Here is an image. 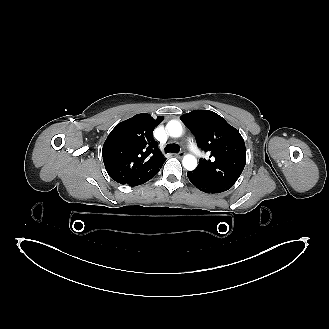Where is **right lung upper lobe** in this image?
<instances>
[{"instance_id":"1","label":"right lung upper lobe","mask_w":329,"mask_h":329,"mask_svg":"<svg viewBox=\"0 0 329 329\" xmlns=\"http://www.w3.org/2000/svg\"><path fill=\"white\" fill-rule=\"evenodd\" d=\"M163 120L141 113L119 123L108 135L103 148V162L109 176L120 184L135 186L165 162L154 128Z\"/></svg>"}]
</instances>
